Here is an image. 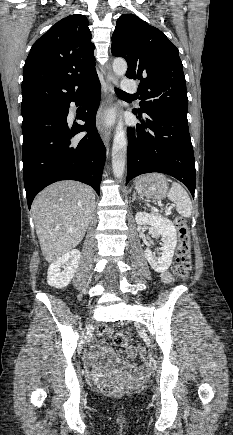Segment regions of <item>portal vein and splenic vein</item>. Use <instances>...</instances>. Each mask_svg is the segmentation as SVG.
Instances as JSON below:
<instances>
[{
    "label": "portal vein and splenic vein",
    "mask_w": 233,
    "mask_h": 435,
    "mask_svg": "<svg viewBox=\"0 0 233 435\" xmlns=\"http://www.w3.org/2000/svg\"><path fill=\"white\" fill-rule=\"evenodd\" d=\"M153 210L158 211L156 208L152 207ZM169 212H166V215H168Z\"/></svg>",
    "instance_id": "18ae733b"
}]
</instances>
